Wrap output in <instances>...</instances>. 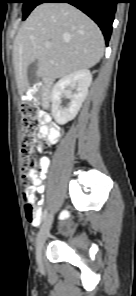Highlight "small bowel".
<instances>
[{
    "label": "small bowel",
    "instance_id": "small-bowel-1",
    "mask_svg": "<svg viewBox=\"0 0 136 296\" xmlns=\"http://www.w3.org/2000/svg\"><path fill=\"white\" fill-rule=\"evenodd\" d=\"M40 119L42 122L41 127L39 128L38 132V140L41 141V138H47L50 143H56L59 136H60V131L59 129L51 123V117L48 113L46 112H40ZM48 160L43 159L41 162L42 167L47 166ZM34 189L37 191H42L43 190V184H42V177H36L34 179ZM39 216L40 219L38 221L32 222L34 226H38L42 219H43V213L41 210H39Z\"/></svg>",
    "mask_w": 136,
    "mask_h": 296
}]
</instances>
